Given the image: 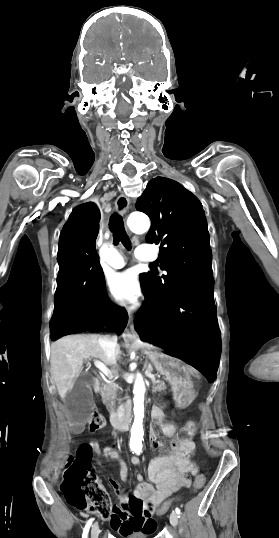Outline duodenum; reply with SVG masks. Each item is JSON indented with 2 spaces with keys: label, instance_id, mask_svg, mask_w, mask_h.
<instances>
[{
  "label": "duodenum",
  "instance_id": "410a0bca",
  "mask_svg": "<svg viewBox=\"0 0 279 538\" xmlns=\"http://www.w3.org/2000/svg\"><path fill=\"white\" fill-rule=\"evenodd\" d=\"M94 382H95L94 386L96 388H101L103 386V383L101 382V377L100 376H95L94 377ZM126 402L128 404H124V409H132L133 399L131 397H128L126 399ZM159 410H160V405H155V410H153V413H159ZM121 413H125V418H130L131 410H128V413H127V410H121ZM110 417L111 418H107V423H112L111 427L113 429H117V428L121 429L122 427L124 429H130L132 427V424L130 422H128V419L118 418L119 414L117 412H112L110 414Z\"/></svg>",
  "mask_w": 279,
  "mask_h": 538
}]
</instances>
